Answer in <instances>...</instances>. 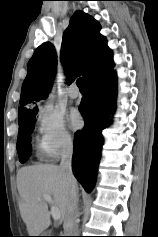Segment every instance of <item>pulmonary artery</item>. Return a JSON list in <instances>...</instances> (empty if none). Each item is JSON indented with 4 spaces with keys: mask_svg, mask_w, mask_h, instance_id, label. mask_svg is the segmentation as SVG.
I'll return each mask as SVG.
<instances>
[{
    "mask_svg": "<svg viewBox=\"0 0 158 237\" xmlns=\"http://www.w3.org/2000/svg\"><path fill=\"white\" fill-rule=\"evenodd\" d=\"M67 94L71 99H77L80 96L79 92L73 90L72 88L68 90Z\"/></svg>",
    "mask_w": 158,
    "mask_h": 237,
    "instance_id": "1",
    "label": "pulmonary artery"
}]
</instances>
